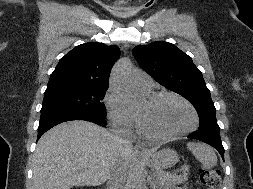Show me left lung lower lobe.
I'll list each match as a JSON object with an SVG mask.
<instances>
[{
  "label": "left lung lower lobe",
  "mask_w": 253,
  "mask_h": 189,
  "mask_svg": "<svg viewBox=\"0 0 253 189\" xmlns=\"http://www.w3.org/2000/svg\"><path fill=\"white\" fill-rule=\"evenodd\" d=\"M188 138L197 139L212 145L224 160V148L220 138V128H199L191 133Z\"/></svg>",
  "instance_id": "0a47b994"
}]
</instances>
